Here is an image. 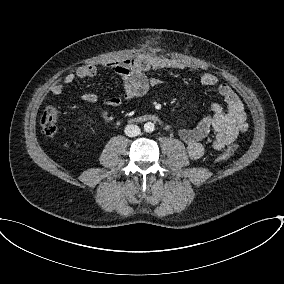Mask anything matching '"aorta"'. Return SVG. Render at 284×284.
<instances>
[{"mask_svg": "<svg viewBox=\"0 0 284 284\" xmlns=\"http://www.w3.org/2000/svg\"><path fill=\"white\" fill-rule=\"evenodd\" d=\"M155 129V126L152 122H147L144 124V131L145 132H148V133H151L153 132Z\"/></svg>", "mask_w": 284, "mask_h": 284, "instance_id": "1", "label": "aorta"}]
</instances>
